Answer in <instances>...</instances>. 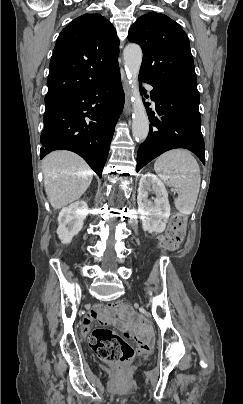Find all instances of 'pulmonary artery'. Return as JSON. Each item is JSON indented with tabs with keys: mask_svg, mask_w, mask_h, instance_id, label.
I'll return each mask as SVG.
<instances>
[{
	"mask_svg": "<svg viewBox=\"0 0 243 404\" xmlns=\"http://www.w3.org/2000/svg\"><path fill=\"white\" fill-rule=\"evenodd\" d=\"M146 87H147V89H148L149 92H152L153 89H154L151 84H148Z\"/></svg>",
	"mask_w": 243,
	"mask_h": 404,
	"instance_id": "pulmonary-artery-1",
	"label": "pulmonary artery"
}]
</instances>
